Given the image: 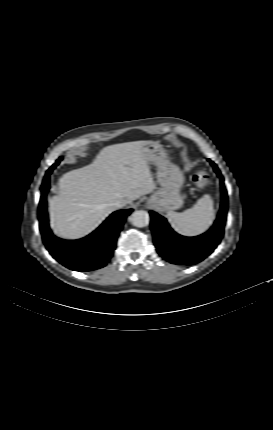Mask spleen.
<instances>
[{"mask_svg": "<svg viewBox=\"0 0 273 430\" xmlns=\"http://www.w3.org/2000/svg\"><path fill=\"white\" fill-rule=\"evenodd\" d=\"M167 219L178 234L186 237L198 236L207 231L214 220L213 200L206 194L184 212L169 211Z\"/></svg>", "mask_w": 273, "mask_h": 430, "instance_id": "3e777b00", "label": "spleen"}]
</instances>
